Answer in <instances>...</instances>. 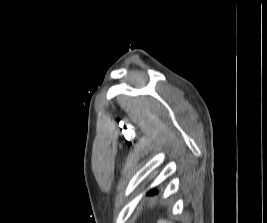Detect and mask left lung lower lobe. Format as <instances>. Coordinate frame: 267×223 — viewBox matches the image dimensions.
<instances>
[{
	"label": "left lung lower lobe",
	"mask_w": 267,
	"mask_h": 223,
	"mask_svg": "<svg viewBox=\"0 0 267 223\" xmlns=\"http://www.w3.org/2000/svg\"><path fill=\"white\" fill-rule=\"evenodd\" d=\"M162 181L163 182H159L158 183V186L159 187H174L175 186V183L174 182H168L169 181V178L168 177H163L162 178ZM157 192L156 189H152L148 192V194H153Z\"/></svg>",
	"instance_id": "left-lung-lower-lobe-1"
}]
</instances>
